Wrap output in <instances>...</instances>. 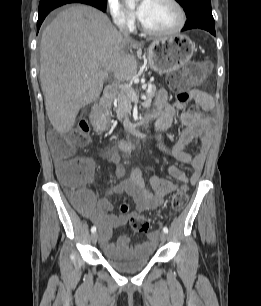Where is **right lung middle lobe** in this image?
<instances>
[{
    "mask_svg": "<svg viewBox=\"0 0 261 306\" xmlns=\"http://www.w3.org/2000/svg\"><path fill=\"white\" fill-rule=\"evenodd\" d=\"M89 2L101 5L102 7L107 6V0H88Z\"/></svg>",
    "mask_w": 261,
    "mask_h": 306,
    "instance_id": "right-lung-middle-lobe-1",
    "label": "right lung middle lobe"
}]
</instances>
